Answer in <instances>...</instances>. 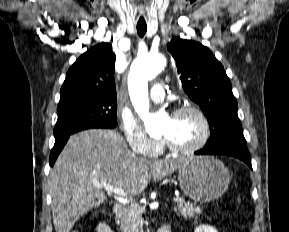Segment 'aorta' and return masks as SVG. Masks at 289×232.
Returning <instances> with one entry per match:
<instances>
[{
    "label": "aorta",
    "mask_w": 289,
    "mask_h": 232,
    "mask_svg": "<svg viewBox=\"0 0 289 232\" xmlns=\"http://www.w3.org/2000/svg\"><path fill=\"white\" fill-rule=\"evenodd\" d=\"M165 65L166 59L161 54L150 53L139 56L133 62L128 76L132 104L151 136L162 132V121L160 115L149 112L148 81L155 78Z\"/></svg>",
    "instance_id": "obj_1"
}]
</instances>
